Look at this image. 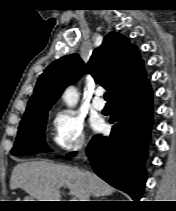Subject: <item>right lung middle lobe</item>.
Masks as SVG:
<instances>
[{
	"label": "right lung middle lobe",
	"instance_id": "right-lung-middle-lobe-1",
	"mask_svg": "<svg viewBox=\"0 0 176 211\" xmlns=\"http://www.w3.org/2000/svg\"><path fill=\"white\" fill-rule=\"evenodd\" d=\"M48 110L22 118L18 135L11 150L15 155H29L51 151L45 143L44 131Z\"/></svg>",
	"mask_w": 176,
	"mask_h": 211
}]
</instances>
